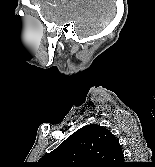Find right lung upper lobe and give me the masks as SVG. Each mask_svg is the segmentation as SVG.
Returning a JSON list of instances; mask_svg holds the SVG:
<instances>
[{
	"label": "right lung upper lobe",
	"mask_w": 155,
	"mask_h": 167,
	"mask_svg": "<svg viewBox=\"0 0 155 167\" xmlns=\"http://www.w3.org/2000/svg\"><path fill=\"white\" fill-rule=\"evenodd\" d=\"M124 155L116 137L100 125H86L40 159L43 167H120Z\"/></svg>",
	"instance_id": "cb5924a9"
}]
</instances>
